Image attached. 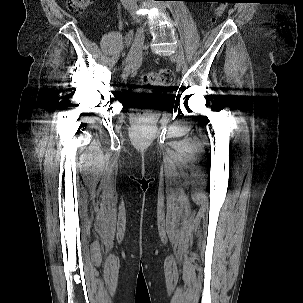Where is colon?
Instances as JSON below:
<instances>
[{"mask_svg":"<svg viewBox=\"0 0 303 303\" xmlns=\"http://www.w3.org/2000/svg\"><path fill=\"white\" fill-rule=\"evenodd\" d=\"M92 0H67L68 8L72 12H81L85 10ZM225 4L219 5L215 10L214 21H216L225 11ZM173 83V73L169 69H160L158 71L148 72L143 75L141 85L144 87L166 88ZM162 97L152 98L151 102H158Z\"/></svg>","mask_w":303,"mask_h":303,"instance_id":"5ec220e1","label":"colon"}]
</instances>
